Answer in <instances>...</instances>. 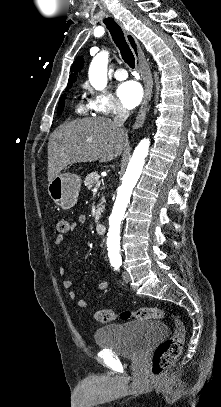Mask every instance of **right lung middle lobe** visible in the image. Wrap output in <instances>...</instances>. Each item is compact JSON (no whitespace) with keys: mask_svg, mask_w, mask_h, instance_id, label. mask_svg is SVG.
<instances>
[{"mask_svg":"<svg viewBox=\"0 0 221 407\" xmlns=\"http://www.w3.org/2000/svg\"><path fill=\"white\" fill-rule=\"evenodd\" d=\"M69 88H67L66 90H68ZM66 95H62L60 100H59V104H58V109H57V115H60L63 111L64 108V100H65Z\"/></svg>","mask_w":221,"mask_h":407,"instance_id":"1","label":"right lung middle lobe"}]
</instances>
